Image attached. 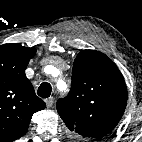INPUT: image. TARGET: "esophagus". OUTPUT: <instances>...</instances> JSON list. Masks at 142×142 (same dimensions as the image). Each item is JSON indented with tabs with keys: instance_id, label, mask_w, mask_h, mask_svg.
Returning a JSON list of instances; mask_svg holds the SVG:
<instances>
[{
	"instance_id": "1",
	"label": "esophagus",
	"mask_w": 142,
	"mask_h": 142,
	"mask_svg": "<svg viewBox=\"0 0 142 142\" xmlns=\"http://www.w3.org/2000/svg\"><path fill=\"white\" fill-rule=\"evenodd\" d=\"M45 102H46L47 108L52 107L54 104V97H49L48 99L45 100Z\"/></svg>"
}]
</instances>
